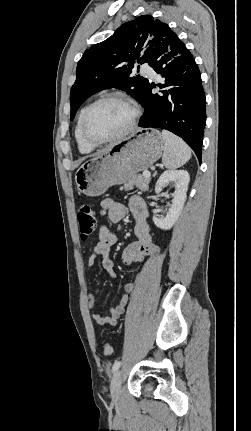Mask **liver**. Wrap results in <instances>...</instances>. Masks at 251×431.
Wrapping results in <instances>:
<instances>
[{
	"label": "liver",
	"mask_w": 251,
	"mask_h": 431,
	"mask_svg": "<svg viewBox=\"0 0 251 431\" xmlns=\"http://www.w3.org/2000/svg\"><path fill=\"white\" fill-rule=\"evenodd\" d=\"M106 149H108V148H106ZM106 149L102 150V151H101V152H99L98 154H101V153H103V152H104V151H105ZM98 154H97V155H98Z\"/></svg>",
	"instance_id": "1"
}]
</instances>
